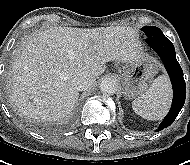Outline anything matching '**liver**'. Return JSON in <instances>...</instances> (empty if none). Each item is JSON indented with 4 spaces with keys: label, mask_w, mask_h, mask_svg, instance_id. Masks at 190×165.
Instances as JSON below:
<instances>
[{
    "label": "liver",
    "mask_w": 190,
    "mask_h": 165,
    "mask_svg": "<svg viewBox=\"0 0 190 165\" xmlns=\"http://www.w3.org/2000/svg\"><path fill=\"white\" fill-rule=\"evenodd\" d=\"M140 58L135 31L128 27H51L29 38L15 56L10 77L11 101L30 119L58 121L75 108L74 77L104 73L106 63Z\"/></svg>",
    "instance_id": "liver-1"
}]
</instances>
